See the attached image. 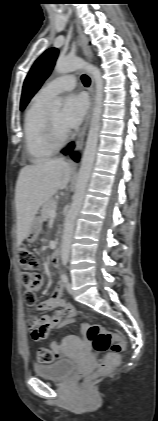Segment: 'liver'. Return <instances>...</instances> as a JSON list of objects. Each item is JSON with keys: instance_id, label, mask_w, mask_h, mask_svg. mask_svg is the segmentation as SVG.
<instances>
[{"instance_id": "obj_1", "label": "liver", "mask_w": 158, "mask_h": 421, "mask_svg": "<svg viewBox=\"0 0 158 421\" xmlns=\"http://www.w3.org/2000/svg\"><path fill=\"white\" fill-rule=\"evenodd\" d=\"M71 167L62 158L27 165L20 170L15 190L17 242L27 237L39 208L58 190L67 187Z\"/></svg>"}]
</instances>
